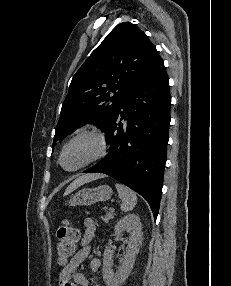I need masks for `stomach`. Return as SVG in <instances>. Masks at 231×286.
<instances>
[{
  "label": "stomach",
  "instance_id": "1",
  "mask_svg": "<svg viewBox=\"0 0 231 286\" xmlns=\"http://www.w3.org/2000/svg\"><path fill=\"white\" fill-rule=\"evenodd\" d=\"M113 192L108 185L96 188H83L69 200V206H89L99 201L109 200Z\"/></svg>",
  "mask_w": 231,
  "mask_h": 286
}]
</instances>
